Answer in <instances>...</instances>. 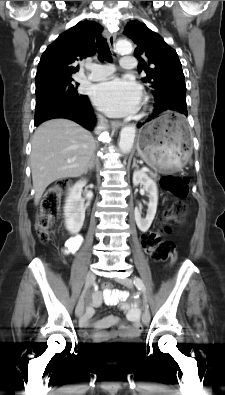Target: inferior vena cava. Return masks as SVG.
<instances>
[{
    "instance_id": "inferior-vena-cava-1",
    "label": "inferior vena cava",
    "mask_w": 225,
    "mask_h": 395,
    "mask_svg": "<svg viewBox=\"0 0 225 395\" xmlns=\"http://www.w3.org/2000/svg\"><path fill=\"white\" fill-rule=\"evenodd\" d=\"M106 120L102 116H98V124L96 127L95 132L99 134L101 131L105 130L107 128Z\"/></svg>"
}]
</instances>
